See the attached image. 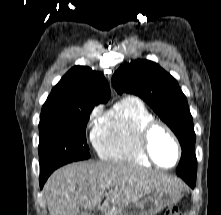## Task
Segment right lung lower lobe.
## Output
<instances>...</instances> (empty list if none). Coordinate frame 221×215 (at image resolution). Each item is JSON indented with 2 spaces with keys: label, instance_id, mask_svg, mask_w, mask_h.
<instances>
[{
  "label": "right lung lower lobe",
  "instance_id": "1",
  "mask_svg": "<svg viewBox=\"0 0 221 215\" xmlns=\"http://www.w3.org/2000/svg\"><path fill=\"white\" fill-rule=\"evenodd\" d=\"M57 169V168H56ZM53 170H47V171H40V188L43 187L44 183L48 179L49 175L54 171Z\"/></svg>",
  "mask_w": 221,
  "mask_h": 215
}]
</instances>
